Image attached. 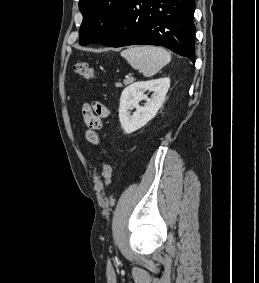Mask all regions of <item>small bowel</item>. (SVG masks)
Wrapping results in <instances>:
<instances>
[{
	"mask_svg": "<svg viewBox=\"0 0 259 283\" xmlns=\"http://www.w3.org/2000/svg\"><path fill=\"white\" fill-rule=\"evenodd\" d=\"M109 115V109L99 102L85 104L82 108V117L87 127L86 138L94 144H98L100 139L97 131L102 128L103 120Z\"/></svg>",
	"mask_w": 259,
	"mask_h": 283,
	"instance_id": "obj_1",
	"label": "small bowel"
}]
</instances>
